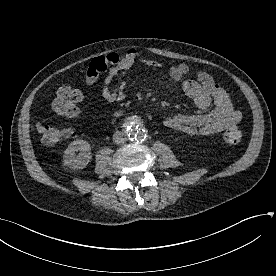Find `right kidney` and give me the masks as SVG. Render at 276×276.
I'll use <instances>...</instances> for the list:
<instances>
[{
  "label": "right kidney",
  "instance_id": "1",
  "mask_svg": "<svg viewBox=\"0 0 276 276\" xmlns=\"http://www.w3.org/2000/svg\"><path fill=\"white\" fill-rule=\"evenodd\" d=\"M76 155V152H78ZM92 158L90 144L85 140H74L64 151V165L71 169L85 168Z\"/></svg>",
  "mask_w": 276,
  "mask_h": 276
}]
</instances>
